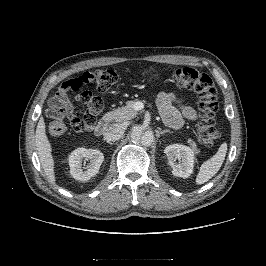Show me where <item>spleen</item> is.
<instances>
[{"label":"spleen","instance_id":"spleen-1","mask_svg":"<svg viewBox=\"0 0 266 266\" xmlns=\"http://www.w3.org/2000/svg\"><path fill=\"white\" fill-rule=\"evenodd\" d=\"M226 153L227 144L223 143L215 155L202 163L196 177L197 185L204 184L217 174L225 160Z\"/></svg>","mask_w":266,"mask_h":266}]
</instances>
